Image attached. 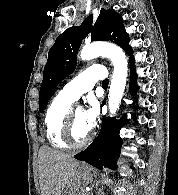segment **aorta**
Returning <instances> with one entry per match:
<instances>
[{"mask_svg": "<svg viewBox=\"0 0 178 195\" xmlns=\"http://www.w3.org/2000/svg\"><path fill=\"white\" fill-rule=\"evenodd\" d=\"M98 56L109 58L114 66L108 95L109 111L110 115L113 116L119 109V104L126 86L128 63L122 49L112 43L94 42L84 46L80 52V58L82 60H90Z\"/></svg>", "mask_w": 178, "mask_h": 195, "instance_id": "762f6f07", "label": "aorta"}]
</instances>
